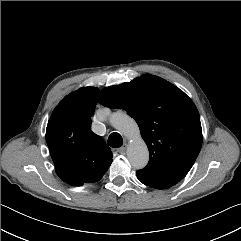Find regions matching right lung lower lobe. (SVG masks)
I'll return each instance as SVG.
<instances>
[{"instance_id": "98d812e1", "label": "right lung lower lobe", "mask_w": 241, "mask_h": 241, "mask_svg": "<svg viewBox=\"0 0 241 241\" xmlns=\"http://www.w3.org/2000/svg\"><path fill=\"white\" fill-rule=\"evenodd\" d=\"M57 175L66 183L73 186H82L84 182L61 170L56 171Z\"/></svg>"}]
</instances>
